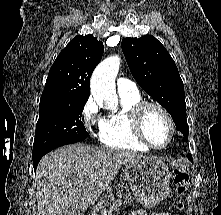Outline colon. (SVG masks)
I'll return each mask as SVG.
<instances>
[{
    "mask_svg": "<svg viewBox=\"0 0 221 215\" xmlns=\"http://www.w3.org/2000/svg\"><path fill=\"white\" fill-rule=\"evenodd\" d=\"M190 182V173L186 166L177 167L174 170V184L178 196L182 197L186 194ZM182 207V204H179Z\"/></svg>",
    "mask_w": 221,
    "mask_h": 215,
    "instance_id": "5ec220e1",
    "label": "colon"
}]
</instances>
